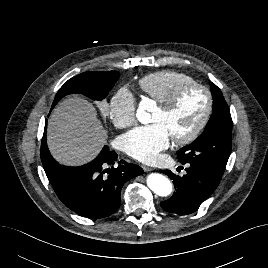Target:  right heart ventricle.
Returning <instances> with one entry per match:
<instances>
[{
	"mask_svg": "<svg viewBox=\"0 0 268 268\" xmlns=\"http://www.w3.org/2000/svg\"><path fill=\"white\" fill-rule=\"evenodd\" d=\"M194 82L193 78L176 70L164 69L150 73L138 81L140 90L158 104L166 102L182 85Z\"/></svg>",
	"mask_w": 268,
	"mask_h": 268,
	"instance_id": "e07e8e85",
	"label": "right heart ventricle"
}]
</instances>
